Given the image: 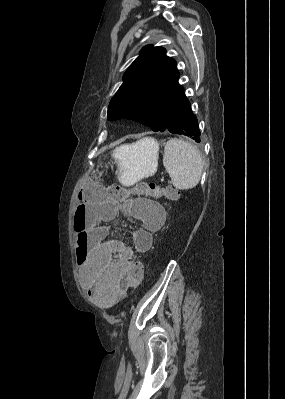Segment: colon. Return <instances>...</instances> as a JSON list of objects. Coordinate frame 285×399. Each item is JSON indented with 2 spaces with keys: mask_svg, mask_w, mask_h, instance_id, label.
Wrapping results in <instances>:
<instances>
[{
  "mask_svg": "<svg viewBox=\"0 0 285 399\" xmlns=\"http://www.w3.org/2000/svg\"><path fill=\"white\" fill-rule=\"evenodd\" d=\"M85 191L95 192L96 195H101L102 190L98 178L89 177L83 184ZM106 195L111 200H124L131 195L134 196H148L154 199L166 196L169 199H175L178 196L176 190L171 187H163L155 183H139L133 188H125L120 185H112L106 190ZM144 277L143 264L136 261L130 268V278L134 283H140Z\"/></svg>",
  "mask_w": 285,
  "mask_h": 399,
  "instance_id": "5ec220e1",
  "label": "colon"
}]
</instances>
